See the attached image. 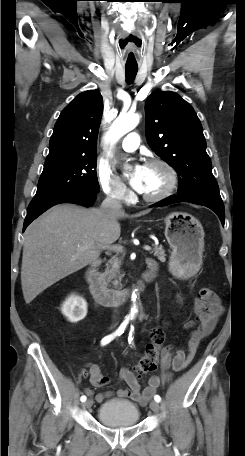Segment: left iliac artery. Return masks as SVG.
<instances>
[{
	"instance_id": "44dca946",
	"label": "left iliac artery",
	"mask_w": 245,
	"mask_h": 456,
	"mask_svg": "<svg viewBox=\"0 0 245 456\" xmlns=\"http://www.w3.org/2000/svg\"><path fill=\"white\" fill-rule=\"evenodd\" d=\"M128 340H129V344H133V342H132V341H133L132 330H131V332H130V334H129ZM154 400H155L156 402H160V401H161V397H160L159 395H155V396H154Z\"/></svg>"
}]
</instances>
